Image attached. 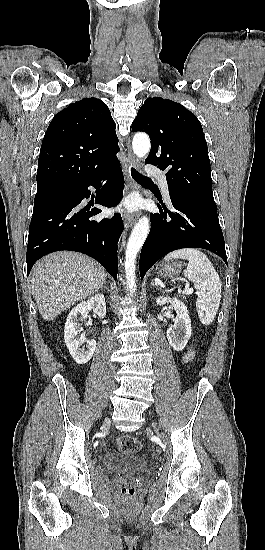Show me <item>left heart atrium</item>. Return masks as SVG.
Masks as SVG:
<instances>
[{
  "label": "left heart atrium",
  "mask_w": 265,
  "mask_h": 550,
  "mask_svg": "<svg viewBox=\"0 0 265 550\" xmlns=\"http://www.w3.org/2000/svg\"><path fill=\"white\" fill-rule=\"evenodd\" d=\"M133 204L131 202L127 203V208H132Z\"/></svg>",
  "instance_id": "obj_1"
}]
</instances>
